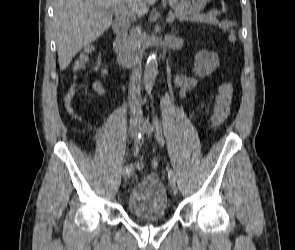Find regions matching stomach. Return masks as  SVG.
<instances>
[{"label":"stomach","instance_id":"0dacf381","mask_svg":"<svg viewBox=\"0 0 295 250\" xmlns=\"http://www.w3.org/2000/svg\"><path fill=\"white\" fill-rule=\"evenodd\" d=\"M208 0H169L172 9L182 16H193L204 9Z\"/></svg>","mask_w":295,"mask_h":250}]
</instances>
